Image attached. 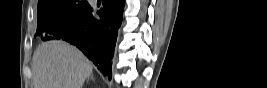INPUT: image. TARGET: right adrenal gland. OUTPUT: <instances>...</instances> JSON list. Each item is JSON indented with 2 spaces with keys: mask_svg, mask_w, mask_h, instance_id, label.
<instances>
[{
  "mask_svg": "<svg viewBox=\"0 0 267 88\" xmlns=\"http://www.w3.org/2000/svg\"><path fill=\"white\" fill-rule=\"evenodd\" d=\"M90 78H91V79H94V78H93V75H91Z\"/></svg>",
  "mask_w": 267,
  "mask_h": 88,
  "instance_id": "2a0ac1e0",
  "label": "right adrenal gland"
}]
</instances>
